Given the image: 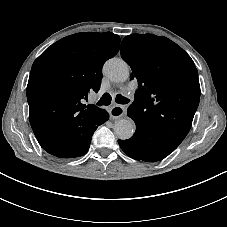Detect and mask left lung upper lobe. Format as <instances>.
Listing matches in <instances>:
<instances>
[{
  "label": "left lung upper lobe",
  "mask_w": 227,
  "mask_h": 227,
  "mask_svg": "<svg viewBox=\"0 0 227 227\" xmlns=\"http://www.w3.org/2000/svg\"><path fill=\"white\" fill-rule=\"evenodd\" d=\"M121 57L138 81L127 114L136 129L175 150L188 134L200 99L198 71L176 43L153 34H131L121 44Z\"/></svg>",
  "instance_id": "obj_1"
}]
</instances>
